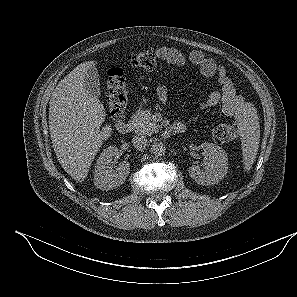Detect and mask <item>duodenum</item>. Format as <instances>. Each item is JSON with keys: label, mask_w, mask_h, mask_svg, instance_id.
I'll use <instances>...</instances> for the list:
<instances>
[{"label": "duodenum", "mask_w": 297, "mask_h": 297, "mask_svg": "<svg viewBox=\"0 0 297 297\" xmlns=\"http://www.w3.org/2000/svg\"><path fill=\"white\" fill-rule=\"evenodd\" d=\"M134 123L132 121H122L116 126L120 134H128L133 129ZM186 130L184 123L178 122L167 128L166 133H183Z\"/></svg>", "instance_id": "1"}]
</instances>
